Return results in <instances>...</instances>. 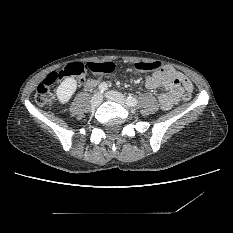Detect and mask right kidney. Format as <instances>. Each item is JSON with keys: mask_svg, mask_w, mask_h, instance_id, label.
Segmentation results:
<instances>
[{"mask_svg": "<svg viewBox=\"0 0 233 233\" xmlns=\"http://www.w3.org/2000/svg\"><path fill=\"white\" fill-rule=\"evenodd\" d=\"M77 88V81L73 77L65 78L56 89V96L61 104L67 103Z\"/></svg>", "mask_w": 233, "mask_h": 233, "instance_id": "ca27d5eb", "label": "right kidney"}]
</instances>
